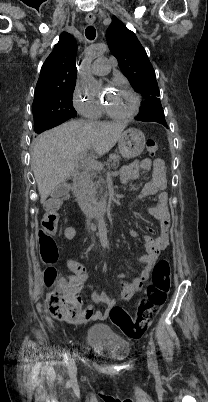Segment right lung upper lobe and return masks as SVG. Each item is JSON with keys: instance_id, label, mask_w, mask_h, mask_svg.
Returning <instances> with one entry per match:
<instances>
[{"instance_id": "right-lung-upper-lobe-1", "label": "right lung upper lobe", "mask_w": 208, "mask_h": 402, "mask_svg": "<svg viewBox=\"0 0 208 402\" xmlns=\"http://www.w3.org/2000/svg\"><path fill=\"white\" fill-rule=\"evenodd\" d=\"M76 50L74 38L68 33L60 35L58 43L42 65L35 94L76 82Z\"/></svg>"}]
</instances>
